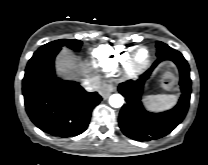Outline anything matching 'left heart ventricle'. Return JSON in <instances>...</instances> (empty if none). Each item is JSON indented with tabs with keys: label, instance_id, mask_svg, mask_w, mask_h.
Here are the masks:
<instances>
[{
	"label": "left heart ventricle",
	"instance_id": "left-heart-ventricle-1",
	"mask_svg": "<svg viewBox=\"0 0 208 165\" xmlns=\"http://www.w3.org/2000/svg\"><path fill=\"white\" fill-rule=\"evenodd\" d=\"M147 57V52L146 51H141L138 55V59L140 61H143Z\"/></svg>",
	"mask_w": 208,
	"mask_h": 165
}]
</instances>
